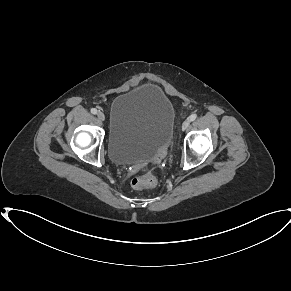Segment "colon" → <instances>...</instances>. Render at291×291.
<instances>
[{
	"instance_id": "5ec220e1",
	"label": "colon",
	"mask_w": 291,
	"mask_h": 291,
	"mask_svg": "<svg viewBox=\"0 0 291 291\" xmlns=\"http://www.w3.org/2000/svg\"><path fill=\"white\" fill-rule=\"evenodd\" d=\"M166 155H167V147L162 148L161 150L158 151L154 159V162L160 163L166 157ZM156 183H157L156 177L153 174L148 173L144 176L134 178L131 182V185L134 189L141 190L144 188L153 187L156 185Z\"/></svg>"
}]
</instances>
